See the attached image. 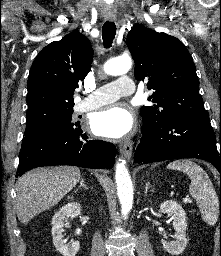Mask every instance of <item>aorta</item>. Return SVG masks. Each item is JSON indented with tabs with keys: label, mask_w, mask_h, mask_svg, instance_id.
<instances>
[{
	"label": "aorta",
	"mask_w": 221,
	"mask_h": 256,
	"mask_svg": "<svg viewBox=\"0 0 221 256\" xmlns=\"http://www.w3.org/2000/svg\"><path fill=\"white\" fill-rule=\"evenodd\" d=\"M131 67L132 60L130 57L123 56L108 60L104 64V71L108 75L117 76L127 73ZM115 180L121 204V213L127 215L133 205V186L124 160H120L116 165Z\"/></svg>",
	"instance_id": "aorta-1"
}]
</instances>
